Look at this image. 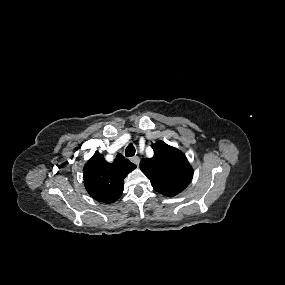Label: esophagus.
Instances as JSON below:
<instances>
[{"label": "esophagus", "instance_id": "34e87169", "mask_svg": "<svg viewBox=\"0 0 285 285\" xmlns=\"http://www.w3.org/2000/svg\"><path fill=\"white\" fill-rule=\"evenodd\" d=\"M131 161L136 164L137 166H139V163H140V159L139 157L135 156V157H132L131 158Z\"/></svg>", "mask_w": 285, "mask_h": 285}]
</instances>
